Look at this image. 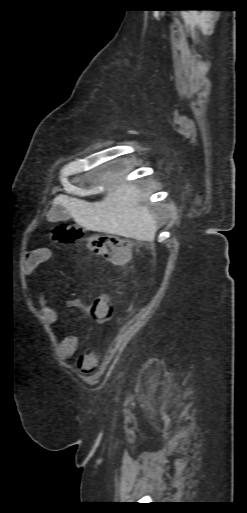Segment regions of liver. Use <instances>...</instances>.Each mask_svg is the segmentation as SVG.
Returning a JSON list of instances; mask_svg holds the SVG:
<instances>
[{
    "mask_svg": "<svg viewBox=\"0 0 247 513\" xmlns=\"http://www.w3.org/2000/svg\"><path fill=\"white\" fill-rule=\"evenodd\" d=\"M121 174L107 172L111 186L99 202L90 203L67 195H58L52 209L63 206L75 222L86 230L120 235L137 240H153L158 230L157 221L146 204L140 189L128 182H120ZM51 209V210H52ZM47 214V220L52 221Z\"/></svg>",
    "mask_w": 247,
    "mask_h": 513,
    "instance_id": "liver-1",
    "label": "liver"
}]
</instances>
